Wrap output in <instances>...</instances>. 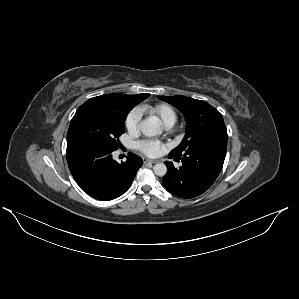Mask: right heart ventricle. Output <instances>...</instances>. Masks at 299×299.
Here are the masks:
<instances>
[{
	"instance_id": "right-heart-ventricle-1",
	"label": "right heart ventricle",
	"mask_w": 299,
	"mask_h": 299,
	"mask_svg": "<svg viewBox=\"0 0 299 299\" xmlns=\"http://www.w3.org/2000/svg\"><path fill=\"white\" fill-rule=\"evenodd\" d=\"M143 109L149 110L166 127H171L177 120L175 109L168 104H156L152 107L144 106Z\"/></svg>"
}]
</instances>
